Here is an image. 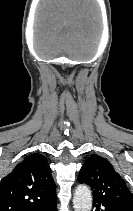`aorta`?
<instances>
[{
	"mask_svg": "<svg viewBox=\"0 0 133 211\" xmlns=\"http://www.w3.org/2000/svg\"><path fill=\"white\" fill-rule=\"evenodd\" d=\"M73 207L74 211H91L92 195L90 189L87 186H77L73 197Z\"/></svg>",
	"mask_w": 133,
	"mask_h": 211,
	"instance_id": "1",
	"label": "aorta"
}]
</instances>
